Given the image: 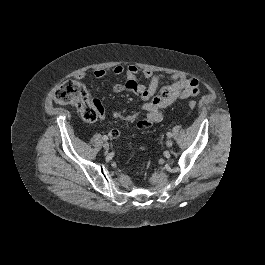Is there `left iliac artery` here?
<instances>
[{"label": "left iliac artery", "instance_id": "obj_1", "mask_svg": "<svg viewBox=\"0 0 265 265\" xmlns=\"http://www.w3.org/2000/svg\"><path fill=\"white\" fill-rule=\"evenodd\" d=\"M167 136H168V137H172V133H171V132H168V133H167Z\"/></svg>", "mask_w": 265, "mask_h": 265}]
</instances>
